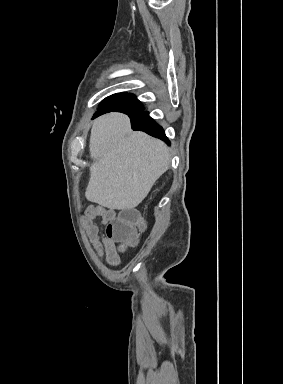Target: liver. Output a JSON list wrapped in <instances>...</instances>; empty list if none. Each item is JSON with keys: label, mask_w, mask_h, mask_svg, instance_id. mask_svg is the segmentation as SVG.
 Here are the masks:
<instances>
[{"label": "liver", "mask_w": 283, "mask_h": 384, "mask_svg": "<svg viewBox=\"0 0 283 384\" xmlns=\"http://www.w3.org/2000/svg\"><path fill=\"white\" fill-rule=\"evenodd\" d=\"M94 160L85 196L109 210H133L170 166L161 140L132 132L128 116L105 114L94 120L90 144Z\"/></svg>", "instance_id": "6515ba94"}]
</instances>
